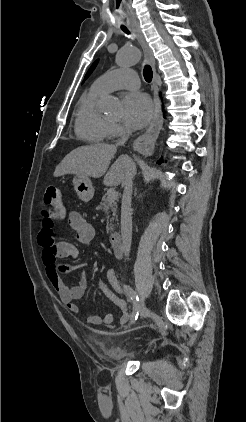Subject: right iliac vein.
Returning <instances> with one entry per match:
<instances>
[{
    "mask_svg": "<svg viewBox=\"0 0 246 422\" xmlns=\"http://www.w3.org/2000/svg\"><path fill=\"white\" fill-rule=\"evenodd\" d=\"M140 318L144 319L149 315V309L146 307L143 301L139 303Z\"/></svg>",
    "mask_w": 246,
    "mask_h": 422,
    "instance_id": "obj_1",
    "label": "right iliac vein"
}]
</instances>
